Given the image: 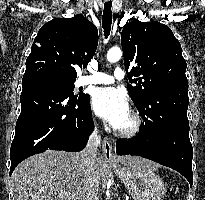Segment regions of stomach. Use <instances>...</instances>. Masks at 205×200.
<instances>
[{"label": "stomach", "instance_id": "0dacf381", "mask_svg": "<svg viewBox=\"0 0 205 200\" xmlns=\"http://www.w3.org/2000/svg\"><path fill=\"white\" fill-rule=\"evenodd\" d=\"M113 170L134 200H162L165 195L162 179L147 165L113 166Z\"/></svg>", "mask_w": 205, "mask_h": 200}]
</instances>
